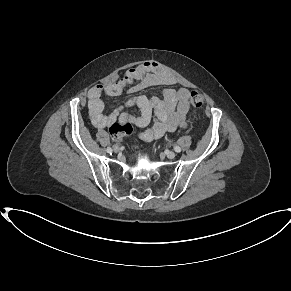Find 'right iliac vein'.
Here are the masks:
<instances>
[{"label":"right iliac vein","mask_w":291,"mask_h":291,"mask_svg":"<svg viewBox=\"0 0 291 291\" xmlns=\"http://www.w3.org/2000/svg\"><path fill=\"white\" fill-rule=\"evenodd\" d=\"M114 151H115V152H119V147H118V146H115V147H114Z\"/></svg>","instance_id":"1"}]
</instances>
